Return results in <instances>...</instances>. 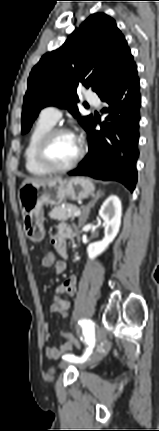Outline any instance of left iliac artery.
<instances>
[{"instance_id": "44dca946", "label": "left iliac artery", "mask_w": 159, "mask_h": 431, "mask_svg": "<svg viewBox=\"0 0 159 431\" xmlns=\"http://www.w3.org/2000/svg\"><path fill=\"white\" fill-rule=\"evenodd\" d=\"M80 324L83 327L85 339L89 346L81 357H77L75 355H65L63 359L69 362H75V363L85 362L86 359L89 357V355L92 353V349L94 347V323L91 320L84 319L80 322Z\"/></svg>"}]
</instances>
